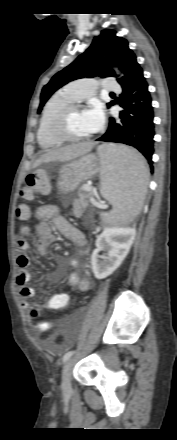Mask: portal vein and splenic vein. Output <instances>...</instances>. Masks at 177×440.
Returning a JSON list of instances; mask_svg holds the SVG:
<instances>
[{
    "label": "portal vein and splenic vein",
    "mask_w": 177,
    "mask_h": 440,
    "mask_svg": "<svg viewBox=\"0 0 177 440\" xmlns=\"http://www.w3.org/2000/svg\"><path fill=\"white\" fill-rule=\"evenodd\" d=\"M85 189H86L87 191H92L93 188H92V186H89V185H88V186H86ZM104 207H107V205H104Z\"/></svg>",
    "instance_id": "18ae733b"
}]
</instances>
